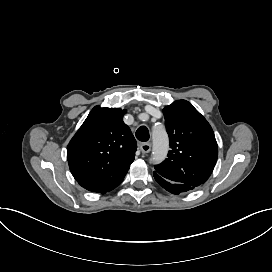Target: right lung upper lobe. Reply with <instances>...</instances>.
I'll list each match as a JSON object with an SVG mask.
<instances>
[{"label": "right lung upper lobe", "instance_id": "right-lung-upper-lobe-1", "mask_svg": "<svg viewBox=\"0 0 272 272\" xmlns=\"http://www.w3.org/2000/svg\"><path fill=\"white\" fill-rule=\"evenodd\" d=\"M126 110L94 107L67 147L69 168L77 182L106 193L123 181L137 144L123 122Z\"/></svg>", "mask_w": 272, "mask_h": 272}]
</instances>
